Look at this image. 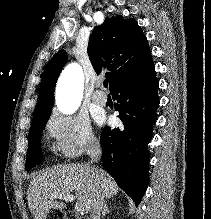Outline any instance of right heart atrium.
<instances>
[{
	"instance_id": "d8ad5b80",
	"label": "right heart atrium",
	"mask_w": 211,
	"mask_h": 219,
	"mask_svg": "<svg viewBox=\"0 0 211 219\" xmlns=\"http://www.w3.org/2000/svg\"><path fill=\"white\" fill-rule=\"evenodd\" d=\"M46 133L58 153L73 159L95 151L98 140L86 117L52 112L46 122Z\"/></svg>"
}]
</instances>
